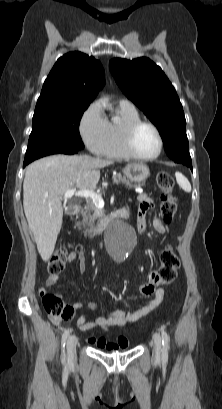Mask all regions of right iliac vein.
<instances>
[{
	"label": "right iliac vein",
	"instance_id": "obj_1",
	"mask_svg": "<svg viewBox=\"0 0 222 409\" xmlns=\"http://www.w3.org/2000/svg\"><path fill=\"white\" fill-rule=\"evenodd\" d=\"M78 339L76 336L71 335L67 340V357L69 362H74L76 359V345Z\"/></svg>",
	"mask_w": 222,
	"mask_h": 409
}]
</instances>
